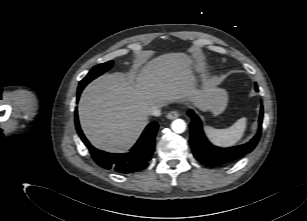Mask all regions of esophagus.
I'll return each instance as SVG.
<instances>
[{"label": "esophagus", "instance_id": "obj_1", "mask_svg": "<svg viewBox=\"0 0 307 221\" xmlns=\"http://www.w3.org/2000/svg\"><path fill=\"white\" fill-rule=\"evenodd\" d=\"M179 116V113L177 111H170L166 117L170 120L175 119Z\"/></svg>", "mask_w": 307, "mask_h": 221}]
</instances>
